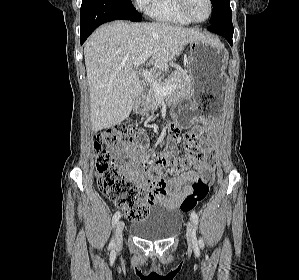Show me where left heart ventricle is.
I'll return each instance as SVG.
<instances>
[{
  "label": "left heart ventricle",
  "mask_w": 299,
  "mask_h": 280,
  "mask_svg": "<svg viewBox=\"0 0 299 280\" xmlns=\"http://www.w3.org/2000/svg\"><path fill=\"white\" fill-rule=\"evenodd\" d=\"M188 8L191 15L196 20H204L209 12L208 3L206 0H189Z\"/></svg>",
  "instance_id": "left-heart-ventricle-1"
}]
</instances>
